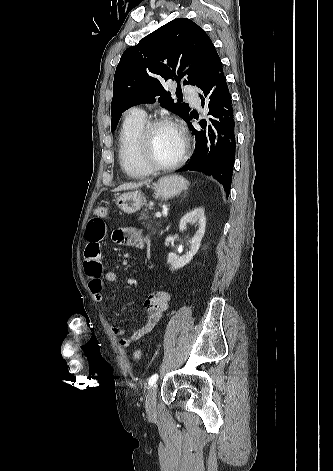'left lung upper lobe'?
Instances as JSON below:
<instances>
[{"instance_id": "obj_1", "label": "left lung upper lobe", "mask_w": 333, "mask_h": 471, "mask_svg": "<svg viewBox=\"0 0 333 471\" xmlns=\"http://www.w3.org/2000/svg\"><path fill=\"white\" fill-rule=\"evenodd\" d=\"M216 49L206 32L193 21L178 18L144 37L121 56L113 82L111 131L128 108L154 103L156 98L166 109L185 120L190 113L186 103H174L163 88L175 79L176 94L183 84L196 85L206 72Z\"/></svg>"}]
</instances>
